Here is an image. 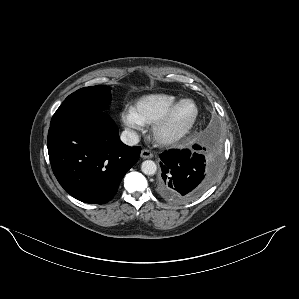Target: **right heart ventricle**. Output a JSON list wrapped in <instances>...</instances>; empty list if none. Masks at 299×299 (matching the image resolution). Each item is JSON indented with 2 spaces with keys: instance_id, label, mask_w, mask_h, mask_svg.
I'll use <instances>...</instances> for the list:
<instances>
[{
  "instance_id": "obj_1",
  "label": "right heart ventricle",
  "mask_w": 299,
  "mask_h": 299,
  "mask_svg": "<svg viewBox=\"0 0 299 299\" xmlns=\"http://www.w3.org/2000/svg\"><path fill=\"white\" fill-rule=\"evenodd\" d=\"M177 101V97L167 93H155L142 96L134 106L133 111L144 125L153 124L164 111Z\"/></svg>"
}]
</instances>
